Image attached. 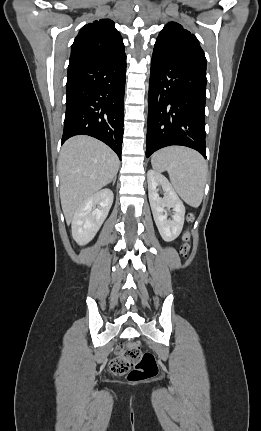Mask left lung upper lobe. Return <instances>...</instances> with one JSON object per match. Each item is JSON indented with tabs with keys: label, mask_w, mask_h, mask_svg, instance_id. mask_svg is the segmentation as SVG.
Wrapping results in <instances>:
<instances>
[{
	"label": "left lung upper lobe",
	"mask_w": 261,
	"mask_h": 431,
	"mask_svg": "<svg viewBox=\"0 0 261 431\" xmlns=\"http://www.w3.org/2000/svg\"><path fill=\"white\" fill-rule=\"evenodd\" d=\"M154 51L206 69V58L197 38L176 22H169L164 26L156 40Z\"/></svg>",
	"instance_id": "left-lung-upper-lobe-1"
}]
</instances>
